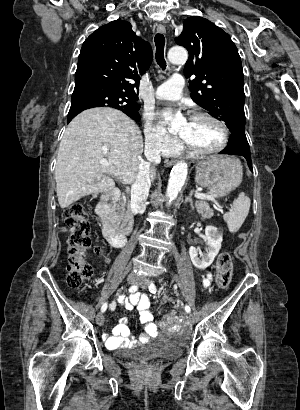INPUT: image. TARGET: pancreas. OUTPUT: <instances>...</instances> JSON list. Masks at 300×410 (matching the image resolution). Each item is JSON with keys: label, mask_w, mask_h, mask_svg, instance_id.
Here are the masks:
<instances>
[{"label": "pancreas", "mask_w": 300, "mask_h": 410, "mask_svg": "<svg viewBox=\"0 0 300 410\" xmlns=\"http://www.w3.org/2000/svg\"><path fill=\"white\" fill-rule=\"evenodd\" d=\"M196 209L198 211V213H200L202 215L203 218H211L213 216V210L210 209V206L207 202H205L204 200L201 201H197L196 202ZM119 219L121 221V225H120V229L122 232H129L131 226H132V214L130 213V211L127 209H125V204H123L120 207V215H119Z\"/></svg>", "instance_id": "cf45deb5"}]
</instances>
